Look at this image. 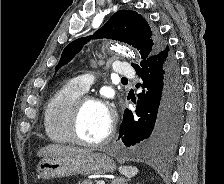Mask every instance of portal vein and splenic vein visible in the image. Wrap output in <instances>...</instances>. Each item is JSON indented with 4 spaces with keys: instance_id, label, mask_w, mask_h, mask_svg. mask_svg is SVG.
Instances as JSON below:
<instances>
[{
    "instance_id": "18ae733b",
    "label": "portal vein and splenic vein",
    "mask_w": 224,
    "mask_h": 184,
    "mask_svg": "<svg viewBox=\"0 0 224 184\" xmlns=\"http://www.w3.org/2000/svg\"><path fill=\"white\" fill-rule=\"evenodd\" d=\"M96 184H105L103 180L97 181Z\"/></svg>"
}]
</instances>
